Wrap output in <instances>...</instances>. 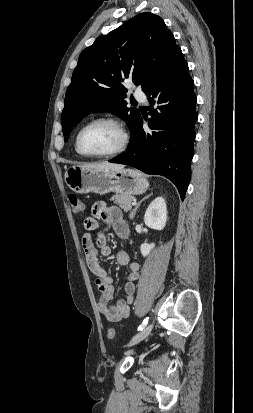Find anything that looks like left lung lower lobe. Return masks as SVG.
<instances>
[{
  "mask_svg": "<svg viewBox=\"0 0 253 413\" xmlns=\"http://www.w3.org/2000/svg\"><path fill=\"white\" fill-rule=\"evenodd\" d=\"M145 94L151 103L148 126L153 131L143 130L140 116L136 135L127 151L109 162L129 165L146 174L162 175L176 185L184 199L191 178L197 98L180 48Z\"/></svg>",
  "mask_w": 253,
  "mask_h": 413,
  "instance_id": "left-lung-lower-lobe-1",
  "label": "left lung lower lobe"
}]
</instances>
